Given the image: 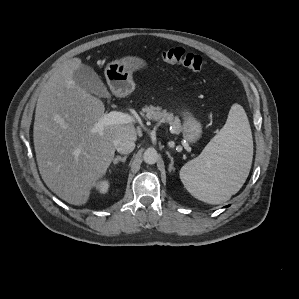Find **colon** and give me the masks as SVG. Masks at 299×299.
I'll return each instance as SVG.
<instances>
[{
	"label": "colon",
	"mask_w": 299,
	"mask_h": 299,
	"mask_svg": "<svg viewBox=\"0 0 299 299\" xmlns=\"http://www.w3.org/2000/svg\"><path fill=\"white\" fill-rule=\"evenodd\" d=\"M161 56L166 63L182 65L192 71H200L203 67V59L200 55L186 52L181 47L168 48Z\"/></svg>",
	"instance_id": "1"
}]
</instances>
